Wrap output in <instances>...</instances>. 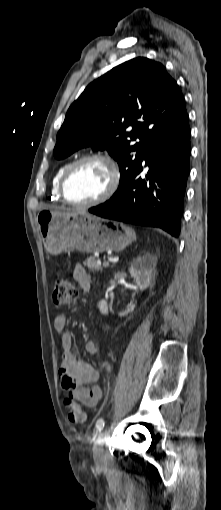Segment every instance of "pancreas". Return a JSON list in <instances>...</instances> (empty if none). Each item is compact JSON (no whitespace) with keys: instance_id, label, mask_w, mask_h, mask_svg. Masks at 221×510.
I'll return each instance as SVG.
<instances>
[{"instance_id":"1","label":"pancreas","mask_w":221,"mask_h":510,"mask_svg":"<svg viewBox=\"0 0 221 510\" xmlns=\"http://www.w3.org/2000/svg\"><path fill=\"white\" fill-rule=\"evenodd\" d=\"M84 265L88 267L90 271H101L103 266L99 264L94 257H88L84 261Z\"/></svg>"}]
</instances>
